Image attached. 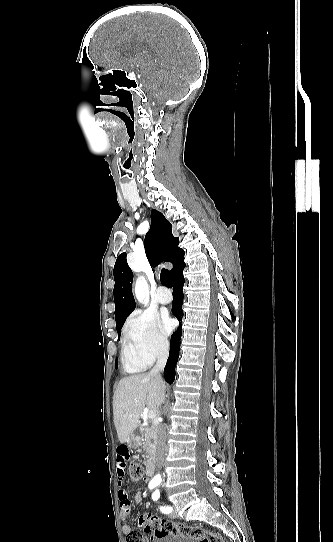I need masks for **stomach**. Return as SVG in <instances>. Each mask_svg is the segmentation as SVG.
I'll list each match as a JSON object with an SVG mask.
<instances>
[{
	"instance_id": "stomach-1",
	"label": "stomach",
	"mask_w": 333,
	"mask_h": 542,
	"mask_svg": "<svg viewBox=\"0 0 333 542\" xmlns=\"http://www.w3.org/2000/svg\"><path fill=\"white\" fill-rule=\"evenodd\" d=\"M129 448H138L141 446V432H133L129 440H127Z\"/></svg>"
}]
</instances>
